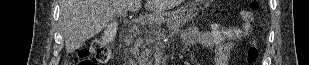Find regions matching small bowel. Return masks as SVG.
<instances>
[{"instance_id":"obj_1","label":"small bowel","mask_w":309,"mask_h":65,"mask_svg":"<svg viewBox=\"0 0 309 65\" xmlns=\"http://www.w3.org/2000/svg\"><path fill=\"white\" fill-rule=\"evenodd\" d=\"M183 39L188 49L198 45L211 49L214 55V65L230 64L235 47L233 36L189 27L185 30Z\"/></svg>"}]
</instances>
